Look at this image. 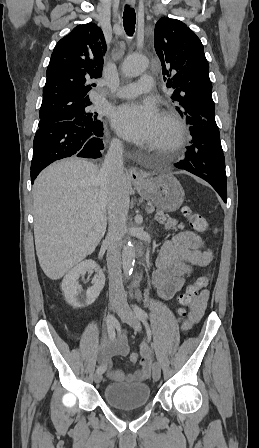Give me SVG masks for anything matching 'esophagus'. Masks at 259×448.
<instances>
[{
	"mask_svg": "<svg viewBox=\"0 0 259 448\" xmlns=\"http://www.w3.org/2000/svg\"><path fill=\"white\" fill-rule=\"evenodd\" d=\"M130 5H134L135 0H126ZM129 175L134 183H139L143 178V173L136 167H131Z\"/></svg>",
	"mask_w": 259,
	"mask_h": 448,
	"instance_id": "esophagus-1",
	"label": "esophagus"
}]
</instances>
